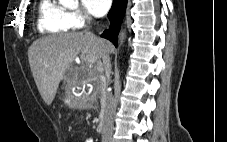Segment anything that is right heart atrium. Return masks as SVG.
<instances>
[{
  "mask_svg": "<svg viewBox=\"0 0 227 142\" xmlns=\"http://www.w3.org/2000/svg\"><path fill=\"white\" fill-rule=\"evenodd\" d=\"M69 19L72 27L78 28L85 24L87 16L81 10H74L69 12Z\"/></svg>",
  "mask_w": 227,
  "mask_h": 142,
  "instance_id": "obj_1",
  "label": "right heart atrium"
}]
</instances>
